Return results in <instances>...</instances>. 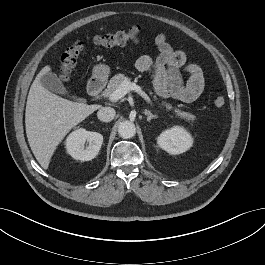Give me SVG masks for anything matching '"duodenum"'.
<instances>
[{
    "mask_svg": "<svg viewBox=\"0 0 265 265\" xmlns=\"http://www.w3.org/2000/svg\"><path fill=\"white\" fill-rule=\"evenodd\" d=\"M104 87V81L101 79H93L87 87V92L91 97H97Z\"/></svg>",
    "mask_w": 265,
    "mask_h": 265,
    "instance_id": "obj_1",
    "label": "duodenum"
}]
</instances>
